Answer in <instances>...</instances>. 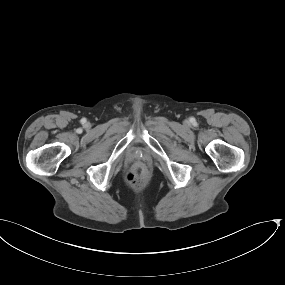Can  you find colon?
I'll use <instances>...</instances> for the list:
<instances>
[{
    "instance_id": "5ec220e1",
    "label": "colon",
    "mask_w": 285,
    "mask_h": 285,
    "mask_svg": "<svg viewBox=\"0 0 285 285\" xmlns=\"http://www.w3.org/2000/svg\"><path fill=\"white\" fill-rule=\"evenodd\" d=\"M148 178V172L145 166L135 165L127 174V182L133 188L141 187Z\"/></svg>"
}]
</instances>
